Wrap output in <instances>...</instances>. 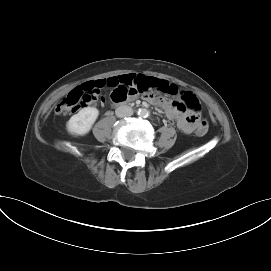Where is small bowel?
I'll return each mask as SVG.
<instances>
[{
    "label": "small bowel",
    "mask_w": 271,
    "mask_h": 271,
    "mask_svg": "<svg viewBox=\"0 0 271 271\" xmlns=\"http://www.w3.org/2000/svg\"><path fill=\"white\" fill-rule=\"evenodd\" d=\"M91 86L97 91L94 99L89 104H94L98 100L100 89H113L110 94L111 102H128L134 97H144L151 104H155L164 109L166 115L171 120L176 121L179 129L190 134L195 128L193 113L178 108L177 102L167 99L165 96L174 94L176 86L164 79L137 74H125L85 82L81 87ZM153 91H159V96L153 95Z\"/></svg>",
    "instance_id": "small-bowel-1"
}]
</instances>
